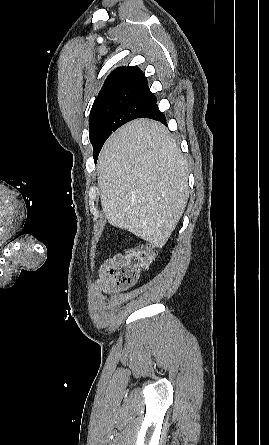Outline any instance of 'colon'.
Wrapping results in <instances>:
<instances>
[{
    "label": "colon",
    "mask_w": 269,
    "mask_h": 445,
    "mask_svg": "<svg viewBox=\"0 0 269 445\" xmlns=\"http://www.w3.org/2000/svg\"><path fill=\"white\" fill-rule=\"evenodd\" d=\"M155 257L156 249L150 243L143 242L127 248L112 270L114 284L119 288L133 286L138 279L139 271L147 267Z\"/></svg>",
    "instance_id": "obj_1"
}]
</instances>
